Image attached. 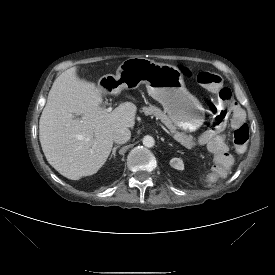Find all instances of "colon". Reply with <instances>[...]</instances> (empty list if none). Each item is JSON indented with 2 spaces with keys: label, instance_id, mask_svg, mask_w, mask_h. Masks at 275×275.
Masks as SVG:
<instances>
[{
  "label": "colon",
  "instance_id": "colon-1",
  "mask_svg": "<svg viewBox=\"0 0 275 275\" xmlns=\"http://www.w3.org/2000/svg\"><path fill=\"white\" fill-rule=\"evenodd\" d=\"M196 80L202 86L210 89H218L221 83V78L217 74L207 71L199 72ZM219 109L216 112L214 121L215 125L225 124L231 111L235 108V101L231 90L223 87L218 92ZM249 140V128L243 125L234 131L233 141L238 151H243ZM227 152V151H225ZM228 153V152H227ZM229 170V168H227Z\"/></svg>",
  "mask_w": 275,
  "mask_h": 275
}]
</instances>
